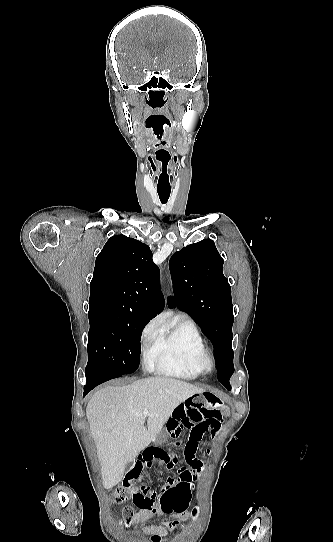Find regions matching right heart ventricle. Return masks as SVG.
Listing matches in <instances>:
<instances>
[{
	"label": "right heart ventricle",
	"instance_id": "right-heart-ventricle-1",
	"mask_svg": "<svg viewBox=\"0 0 333 542\" xmlns=\"http://www.w3.org/2000/svg\"><path fill=\"white\" fill-rule=\"evenodd\" d=\"M205 351L197 326L191 320H183L168 329L159 325V336L143 350V362L164 375L195 379L202 373L199 358Z\"/></svg>",
	"mask_w": 333,
	"mask_h": 542
}]
</instances>
